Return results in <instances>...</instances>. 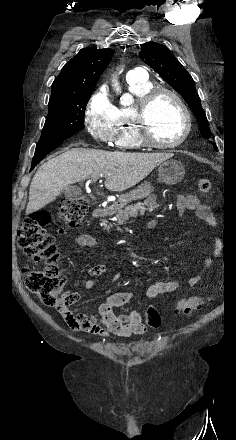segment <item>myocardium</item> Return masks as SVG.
Returning a JSON list of instances; mask_svg holds the SVG:
<instances>
[{
    "label": "myocardium",
    "instance_id": "1",
    "mask_svg": "<svg viewBox=\"0 0 236 440\" xmlns=\"http://www.w3.org/2000/svg\"><path fill=\"white\" fill-rule=\"evenodd\" d=\"M161 95L171 96L178 103L185 119L183 134L179 139L170 143H160L156 141L150 129L149 113L154 102ZM132 117L135 131L140 142L144 146L154 149H172L180 146L186 141L192 129V118L187 104L176 91L167 87H155L143 95L134 107Z\"/></svg>",
    "mask_w": 236,
    "mask_h": 440
}]
</instances>
